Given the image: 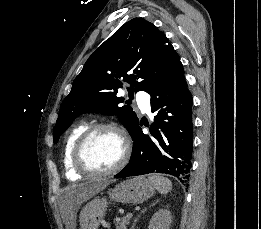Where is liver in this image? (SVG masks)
Wrapping results in <instances>:
<instances>
[{
	"instance_id": "1",
	"label": "liver",
	"mask_w": 261,
	"mask_h": 229,
	"mask_svg": "<svg viewBox=\"0 0 261 229\" xmlns=\"http://www.w3.org/2000/svg\"><path fill=\"white\" fill-rule=\"evenodd\" d=\"M110 183H114V181H95V183H81V185H75L73 189L74 201L77 205H81V203H85L94 195H98L100 191L106 189ZM72 215V213H70ZM71 225L74 227V219L70 217Z\"/></svg>"
}]
</instances>
